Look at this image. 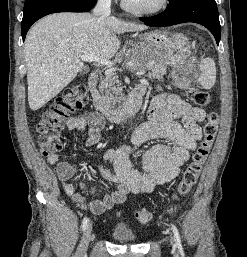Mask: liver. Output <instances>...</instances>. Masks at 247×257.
I'll list each match as a JSON object with an SVG mask.
<instances>
[{
    "label": "liver",
    "mask_w": 247,
    "mask_h": 257,
    "mask_svg": "<svg viewBox=\"0 0 247 257\" xmlns=\"http://www.w3.org/2000/svg\"><path fill=\"white\" fill-rule=\"evenodd\" d=\"M146 28L90 13H54L38 21L24 45L31 110L43 107L77 76L84 67L81 55L110 59L120 48L117 34Z\"/></svg>",
    "instance_id": "6515ba94"
}]
</instances>
